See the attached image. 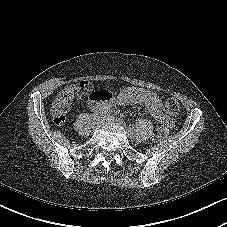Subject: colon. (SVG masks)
<instances>
[{"mask_svg": "<svg viewBox=\"0 0 227 227\" xmlns=\"http://www.w3.org/2000/svg\"><path fill=\"white\" fill-rule=\"evenodd\" d=\"M92 89V84L87 81H82L76 85H68L63 88L56 96L50 110L51 118L53 122L57 125H63L67 118V113L70 104L74 97L83 91H89ZM109 99L111 95L105 92ZM165 112L167 118L170 122L178 115L180 112V106L175 98H168L165 102ZM157 140H163L169 136V129L166 125H159L154 133Z\"/></svg>", "mask_w": 227, "mask_h": 227, "instance_id": "5ec220e1", "label": "colon"}]
</instances>
